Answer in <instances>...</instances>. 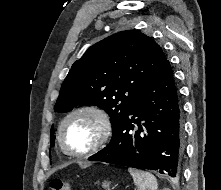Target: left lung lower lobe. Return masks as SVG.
<instances>
[{
    "instance_id": "1",
    "label": "left lung lower lobe",
    "mask_w": 221,
    "mask_h": 190,
    "mask_svg": "<svg viewBox=\"0 0 221 190\" xmlns=\"http://www.w3.org/2000/svg\"><path fill=\"white\" fill-rule=\"evenodd\" d=\"M112 132L110 143L88 160L180 175L184 152L181 105L168 60Z\"/></svg>"
}]
</instances>
